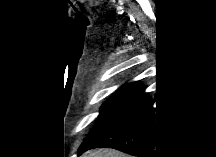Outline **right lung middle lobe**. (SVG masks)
<instances>
[{
    "mask_svg": "<svg viewBox=\"0 0 216 157\" xmlns=\"http://www.w3.org/2000/svg\"><path fill=\"white\" fill-rule=\"evenodd\" d=\"M135 96L136 92L114 93L113 96L102 105L98 119L80 149L95 144L115 128L126 113Z\"/></svg>",
    "mask_w": 216,
    "mask_h": 157,
    "instance_id": "1",
    "label": "right lung middle lobe"
}]
</instances>
